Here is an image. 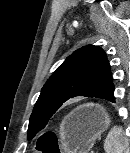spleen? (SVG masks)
I'll use <instances>...</instances> for the list:
<instances>
[{
    "mask_svg": "<svg viewBox=\"0 0 130 153\" xmlns=\"http://www.w3.org/2000/svg\"><path fill=\"white\" fill-rule=\"evenodd\" d=\"M106 153H130L128 139L121 126H114L104 141Z\"/></svg>",
    "mask_w": 130,
    "mask_h": 153,
    "instance_id": "3e777b00",
    "label": "spleen"
}]
</instances>
